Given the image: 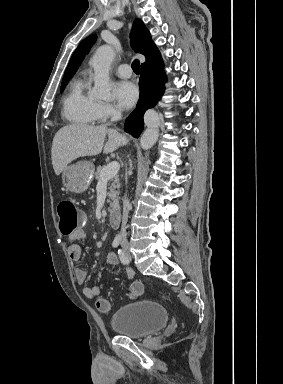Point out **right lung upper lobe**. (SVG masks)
I'll use <instances>...</instances> for the list:
<instances>
[{
  "instance_id": "obj_1",
  "label": "right lung upper lobe",
  "mask_w": 283,
  "mask_h": 384,
  "mask_svg": "<svg viewBox=\"0 0 283 384\" xmlns=\"http://www.w3.org/2000/svg\"><path fill=\"white\" fill-rule=\"evenodd\" d=\"M95 41L96 35H90L80 43L66 68L62 83L68 82L72 78ZM131 45L137 53H141L146 57L145 63L141 65V70L153 69L163 65L160 53L151 40L150 32L139 19H136L133 23Z\"/></svg>"
}]
</instances>
